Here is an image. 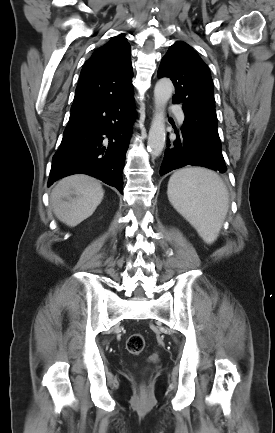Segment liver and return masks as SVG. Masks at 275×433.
Segmentation results:
<instances>
[{"instance_id":"1","label":"liver","mask_w":275,"mask_h":433,"mask_svg":"<svg viewBox=\"0 0 275 433\" xmlns=\"http://www.w3.org/2000/svg\"><path fill=\"white\" fill-rule=\"evenodd\" d=\"M103 196L104 190L98 180L77 174L58 182L51 192L50 203L61 222L75 227L94 213Z\"/></svg>"}]
</instances>
